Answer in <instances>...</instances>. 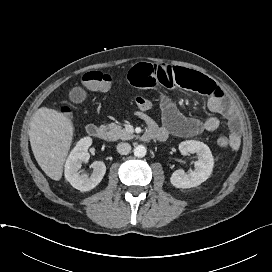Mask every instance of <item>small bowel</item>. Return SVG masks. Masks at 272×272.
Returning <instances> with one entry per match:
<instances>
[{
	"instance_id": "1",
	"label": "small bowel",
	"mask_w": 272,
	"mask_h": 272,
	"mask_svg": "<svg viewBox=\"0 0 272 272\" xmlns=\"http://www.w3.org/2000/svg\"><path fill=\"white\" fill-rule=\"evenodd\" d=\"M128 77L134 86L141 89H153L161 85L166 88H185L207 96L210 111L222 115L227 120L229 146L234 150L240 147L241 137L236 110L221 87L213 80L187 68L150 62L134 66ZM160 110L161 126L144 110H140L138 115L147 123L148 131L153 133L154 138L161 141L170 136L192 137L204 132H213L220 126V120L215 116L197 119L183 115L165 95L160 96Z\"/></svg>"
}]
</instances>
